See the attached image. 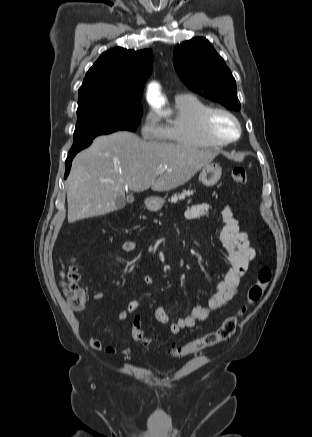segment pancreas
Listing matches in <instances>:
<instances>
[{
  "instance_id": "obj_1",
  "label": "pancreas",
  "mask_w": 312,
  "mask_h": 437,
  "mask_svg": "<svg viewBox=\"0 0 312 437\" xmlns=\"http://www.w3.org/2000/svg\"><path fill=\"white\" fill-rule=\"evenodd\" d=\"M193 194V191H184L181 194H175L169 199V202L176 203L179 200L185 199L186 196H191Z\"/></svg>"
}]
</instances>
